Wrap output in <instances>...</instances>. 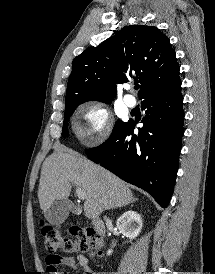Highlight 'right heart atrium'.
<instances>
[{
	"label": "right heart atrium",
	"mask_w": 215,
	"mask_h": 274,
	"mask_svg": "<svg viewBox=\"0 0 215 274\" xmlns=\"http://www.w3.org/2000/svg\"><path fill=\"white\" fill-rule=\"evenodd\" d=\"M81 124L77 136L87 145L103 143L112 131V119L107 107L99 101H89L81 106Z\"/></svg>",
	"instance_id": "1"
}]
</instances>
